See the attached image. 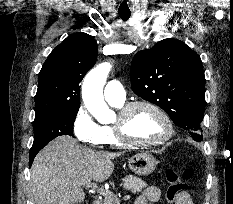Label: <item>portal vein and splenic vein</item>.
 I'll list each match as a JSON object with an SVG mask.
<instances>
[{
    "label": "portal vein and splenic vein",
    "mask_w": 233,
    "mask_h": 204,
    "mask_svg": "<svg viewBox=\"0 0 233 204\" xmlns=\"http://www.w3.org/2000/svg\"><path fill=\"white\" fill-rule=\"evenodd\" d=\"M86 187L90 188L93 191H97L100 195H103L105 197H111L113 195L111 191L103 189V188H99L97 184L95 183H88ZM128 199H130L129 195H126L123 197V200H128Z\"/></svg>",
    "instance_id": "portal-vein-and-splenic-vein-1"
}]
</instances>
